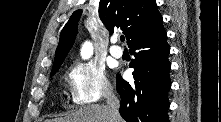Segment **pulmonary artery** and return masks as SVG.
<instances>
[{"label": "pulmonary artery", "mask_w": 221, "mask_h": 122, "mask_svg": "<svg viewBox=\"0 0 221 122\" xmlns=\"http://www.w3.org/2000/svg\"><path fill=\"white\" fill-rule=\"evenodd\" d=\"M117 37H113L111 39L112 45L109 49L110 54L115 57V58H121L123 55V50L121 49V47H119L118 45H116L117 43Z\"/></svg>", "instance_id": "1"}]
</instances>
